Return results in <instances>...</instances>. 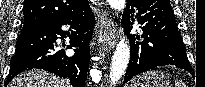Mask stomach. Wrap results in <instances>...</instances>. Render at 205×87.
Returning <instances> with one entry per match:
<instances>
[{
  "label": "stomach",
  "mask_w": 205,
  "mask_h": 87,
  "mask_svg": "<svg viewBox=\"0 0 205 87\" xmlns=\"http://www.w3.org/2000/svg\"><path fill=\"white\" fill-rule=\"evenodd\" d=\"M169 76L161 71H148L138 76L130 87H169Z\"/></svg>",
  "instance_id": "obj_1"
}]
</instances>
